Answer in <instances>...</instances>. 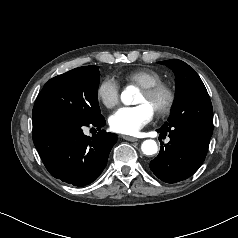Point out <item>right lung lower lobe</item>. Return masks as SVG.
<instances>
[{
    "label": "right lung lower lobe",
    "instance_id": "1",
    "mask_svg": "<svg viewBox=\"0 0 238 238\" xmlns=\"http://www.w3.org/2000/svg\"><path fill=\"white\" fill-rule=\"evenodd\" d=\"M104 125L103 116L90 123L66 117L33 118V142L52 176L81 187L101 174L117 142L116 134L100 130ZM85 126L99 132L90 138L83 133Z\"/></svg>",
    "mask_w": 238,
    "mask_h": 238
}]
</instances>
